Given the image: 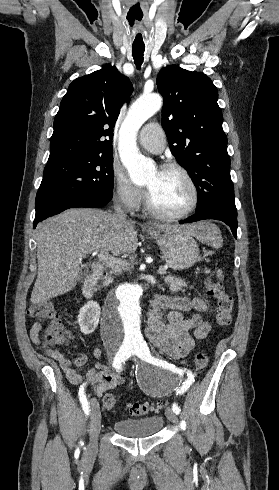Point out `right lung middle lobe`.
Returning a JSON list of instances; mask_svg holds the SVG:
<instances>
[{
  "label": "right lung middle lobe",
  "mask_w": 279,
  "mask_h": 490,
  "mask_svg": "<svg viewBox=\"0 0 279 490\" xmlns=\"http://www.w3.org/2000/svg\"><path fill=\"white\" fill-rule=\"evenodd\" d=\"M113 149L48 162L36 195L35 206L50 196L86 194L111 200L113 194Z\"/></svg>",
  "instance_id": "obj_1"
}]
</instances>
